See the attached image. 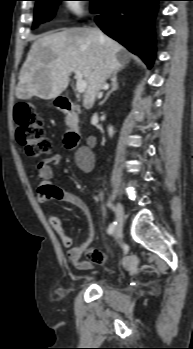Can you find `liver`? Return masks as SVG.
<instances>
[{"mask_svg": "<svg viewBox=\"0 0 193 349\" xmlns=\"http://www.w3.org/2000/svg\"><path fill=\"white\" fill-rule=\"evenodd\" d=\"M104 37L94 29L74 27L36 39L20 70L16 97L55 99L67 88L70 74L80 71L88 83L83 104L91 108L106 78L125 65L118 56L123 47Z\"/></svg>", "mask_w": 193, "mask_h": 349, "instance_id": "obj_1", "label": "liver"}]
</instances>
